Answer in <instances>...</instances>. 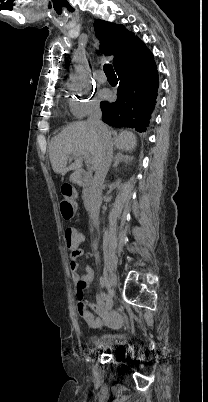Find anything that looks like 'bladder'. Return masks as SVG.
I'll return each instance as SVG.
<instances>
[{
  "mask_svg": "<svg viewBox=\"0 0 208 402\" xmlns=\"http://www.w3.org/2000/svg\"><path fill=\"white\" fill-rule=\"evenodd\" d=\"M94 341L97 343L98 348L113 347V346H117L119 348L122 344L120 336L116 334L97 335L94 337Z\"/></svg>",
  "mask_w": 208,
  "mask_h": 402,
  "instance_id": "bladder-1",
  "label": "bladder"
}]
</instances>
